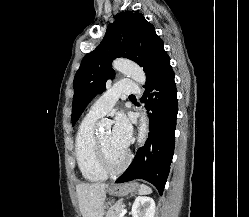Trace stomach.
<instances>
[{
	"instance_id": "1",
	"label": "stomach",
	"mask_w": 249,
	"mask_h": 217,
	"mask_svg": "<svg viewBox=\"0 0 249 217\" xmlns=\"http://www.w3.org/2000/svg\"><path fill=\"white\" fill-rule=\"evenodd\" d=\"M107 191L112 196L124 197L128 194L137 193L139 191V184L137 182H128L121 185H113Z\"/></svg>"
}]
</instances>
